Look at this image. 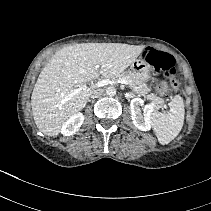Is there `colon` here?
I'll use <instances>...</instances> for the list:
<instances>
[{"mask_svg": "<svg viewBox=\"0 0 211 211\" xmlns=\"http://www.w3.org/2000/svg\"><path fill=\"white\" fill-rule=\"evenodd\" d=\"M144 58L154 69L163 73L169 80V83L163 82L158 86L161 93H167L178 88V81L176 80L177 68L175 60L170 54L148 48L144 53Z\"/></svg>", "mask_w": 211, "mask_h": 211, "instance_id": "1", "label": "colon"}]
</instances>
